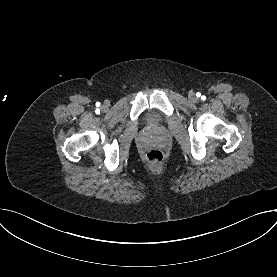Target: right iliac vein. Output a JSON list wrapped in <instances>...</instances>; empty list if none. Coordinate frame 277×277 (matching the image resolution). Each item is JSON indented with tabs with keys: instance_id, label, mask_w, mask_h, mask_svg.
<instances>
[{
	"instance_id": "obj_1",
	"label": "right iliac vein",
	"mask_w": 277,
	"mask_h": 277,
	"mask_svg": "<svg viewBox=\"0 0 277 277\" xmlns=\"http://www.w3.org/2000/svg\"><path fill=\"white\" fill-rule=\"evenodd\" d=\"M107 107L106 106H103L102 109L105 110Z\"/></svg>"
}]
</instances>
